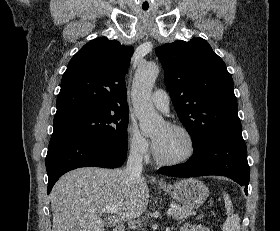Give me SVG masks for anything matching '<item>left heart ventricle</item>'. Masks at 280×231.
I'll list each match as a JSON object with an SVG mask.
<instances>
[{"instance_id": "left-heart-ventricle-1", "label": "left heart ventricle", "mask_w": 280, "mask_h": 231, "mask_svg": "<svg viewBox=\"0 0 280 231\" xmlns=\"http://www.w3.org/2000/svg\"><path fill=\"white\" fill-rule=\"evenodd\" d=\"M162 133L165 134L164 143L162 148L157 152L162 158L174 159L183 157L188 153L190 145L183 134L167 125H163L154 132L153 137L155 138Z\"/></svg>"}]
</instances>
